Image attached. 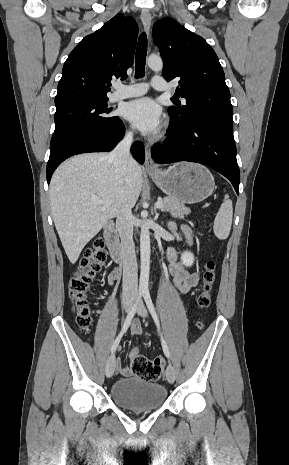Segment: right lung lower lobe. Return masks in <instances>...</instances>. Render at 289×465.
Instances as JSON below:
<instances>
[{
  "label": "right lung lower lobe",
  "instance_id": "98d812e1",
  "mask_svg": "<svg viewBox=\"0 0 289 465\" xmlns=\"http://www.w3.org/2000/svg\"><path fill=\"white\" fill-rule=\"evenodd\" d=\"M124 131V124L118 118L109 128L90 130L77 134L66 142L51 149L47 164L48 184L50 183L51 176L55 169L65 159L80 153L111 151L122 139ZM131 151L134 158L142 164L145 159V152L142 144L135 142Z\"/></svg>",
  "mask_w": 289,
  "mask_h": 465
}]
</instances>
